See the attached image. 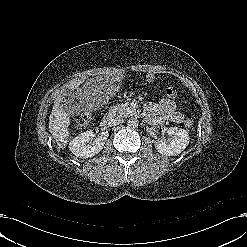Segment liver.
<instances>
[{
    "mask_svg": "<svg viewBox=\"0 0 247 247\" xmlns=\"http://www.w3.org/2000/svg\"><path fill=\"white\" fill-rule=\"evenodd\" d=\"M82 80H72L67 85L70 89L77 88ZM62 98L58 96L54 102L50 117H49V131L55 139L56 143L60 148H65L70 135L69 126L71 123L70 115L67 113L61 105Z\"/></svg>",
    "mask_w": 247,
    "mask_h": 247,
    "instance_id": "liver-1",
    "label": "liver"
}]
</instances>
